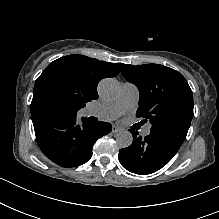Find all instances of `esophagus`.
Here are the masks:
<instances>
[{
	"mask_svg": "<svg viewBox=\"0 0 219 219\" xmlns=\"http://www.w3.org/2000/svg\"><path fill=\"white\" fill-rule=\"evenodd\" d=\"M121 131H122V129L120 127H117L115 125L112 127V133H118V132H121Z\"/></svg>",
	"mask_w": 219,
	"mask_h": 219,
	"instance_id": "obj_1",
	"label": "esophagus"
}]
</instances>
